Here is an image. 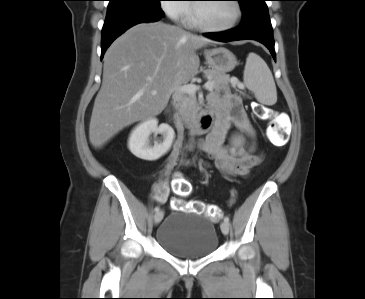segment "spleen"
<instances>
[{
	"mask_svg": "<svg viewBox=\"0 0 365 299\" xmlns=\"http://www.w3.org/2000/svg\"><path fill=\"white\" fill-rule=\"evenodd\" d=\"M243 81L254 92L257 101L274 105L277 101L276 85L266 62L256 53H249L246 59Z\"/></svg>",
	"mask_w": 365,
	"mask_h": 299,
	"instance_id": "1",
	"label": "spleen"
}]
</instances>
